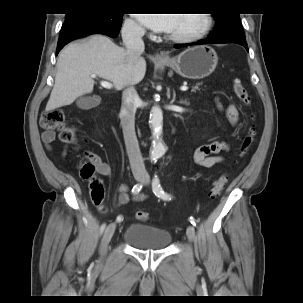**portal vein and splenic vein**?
<instances>
[{
	"label": "portal vein and splenic vein",
	"instance_id": "portal-vein-and-splenic-vein-1",
	"mask_svg": "<svg viewBox=\"0 0 303 303\" xmlns=\"http://www.w3.org/2000/svg\"><path fill=\"white\" fill-rule=\"evenodd\" d=\"M92 78H96V75H91ZM101 86L104 87V88H107V89H110L112 87V84L107 82V81H101L100 82ZM182 91H187L188 90V87L187 86H182L180 88Z\"/></svg>",
	"mask_w": 303,
	"mask_h": 303
}]
</instances>
